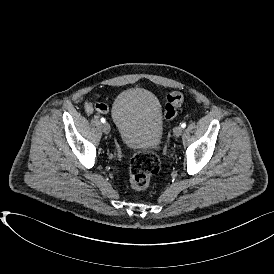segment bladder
Wrapping results in <instances>:
<instances>
[{"instance_id": "1", "label": "bladder", "mask_w": 274, "mask_h": 274, "mask_svg": "<svg viewBox=\"0 0 274 274\" xmlns=\"http://www.w3.org/2000/svg\"><path fill=\"white\" fill-rule=\"evenodd\" d=\"M112 119L121 142L130 149L158 147L163 134V114L156 96L143 88L120 93L112 106Z\"/></svg>"}]
</instances>
